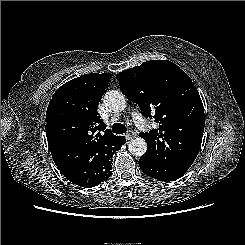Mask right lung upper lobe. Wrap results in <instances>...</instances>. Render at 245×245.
<instances>
[{
	"mask_svg": "<svg viewBox=\"0 0 245 245\" xmlns=\"http://www.w3.org/2000/svg\"><path fill=\"white\" fill-rule=\"evenodd\" d=\"M113 74L81 75L62 85L52 96L46 112L48 146L57 166H73L81 187L96 185L91 167L94 152L122 139L106 129L97 114L99 101Z\"/></svg>",
	"mask_w": 245,
	"mask_h": 245,
	"instance_id": "1",
	"label": "right lung upper lobe"
}]
</instances>
